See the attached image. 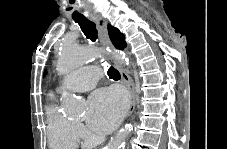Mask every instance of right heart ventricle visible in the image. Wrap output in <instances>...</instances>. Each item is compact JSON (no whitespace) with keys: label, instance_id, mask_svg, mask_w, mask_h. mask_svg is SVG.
Here are the masks:
<instances>
[{"label":"right heart ventricle","instance_id":"obj_1","mask_svg":"<svg viewBox=\"0 0 227 149\" xmlns=\"http://www.w3.org/2000/svg\"><path fill=\"white\" fill-rule=\"evenodd\" d=\"M47 134L50 147L54 149H73L78 144L76 124L61 113L53 95L45 108Z\"/></svg>","mask_w":227,"mask_h":149}]
</instances>
